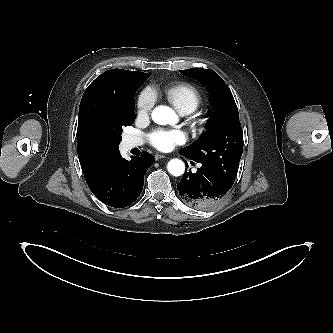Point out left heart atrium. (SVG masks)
Listing matches in <instances>:
<instances>
[{
    "instance_id": "1",
    "label": "left heart atrium",
    "mask_w": 333,
    "mask_h": 333,
    "mask_svg": "<svg viewBox=\"0 0 333 333\" xmlns=\"http://www.w3.org/2000/svg\"><path fill=\"white\" fill-rule=\"evenodd\" d=\"M151 144L159 150L167 151L175 145L185 142L184 134L179 130H156L150 135Z\"/></svg>"
}]
</instances>
